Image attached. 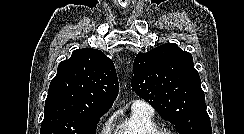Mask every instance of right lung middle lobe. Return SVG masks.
<instances>
[{"instance_id": "1", "label": "right lung middle lobe", "mask_w": 244, "mask_h": 134, "mask_svg": "<svg viewBox=\"0 0 244 134\" xmlns=\"http://www.w3.org/2000/svg\"><path fill=\"white\" fill-rule=\"evenodd\" d=\"M40 134H96L103 115H88L60 105L45 106Z\"/></svg>"}]
</instances>
